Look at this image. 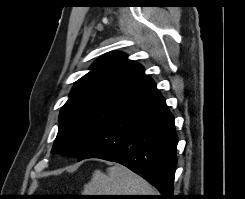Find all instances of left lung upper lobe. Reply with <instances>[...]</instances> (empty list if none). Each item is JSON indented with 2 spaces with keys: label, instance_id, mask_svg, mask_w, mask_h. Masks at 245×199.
Instances as JSON below:
<instances>
[{
  "label": "left lung upper lobe",
  "instance_id": "left-lung-upper-lobe-1",
  "mask_svg": "<svg viewBox=\"0 0 245 199\" xmlns=\"http://www.w3.org/2000/svg\"><path fill=\"white\" fill-rule=\"evenodd\" d=\"M90 69L61 109L52 153L79 157L101 128L153 83L140 64L120 52L104 55Z\"/></svg>",
  "mask_w": 245,
  "mask_h": 199
}]
</instances>
